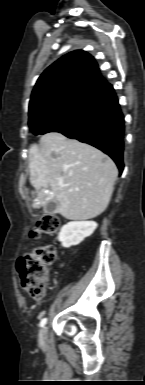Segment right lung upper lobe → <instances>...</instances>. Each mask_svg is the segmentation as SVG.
<instances>
[{"instance_id":"right-lung-upper-lobe-1","label":"right lung upper lobe","mask_w":145,"mask_h":385,"mask_svg":"<svg viewBox=\"0 0 145 385\" xmlns=\"http://www.w3.org/2000/svg\"><path fill=\"white\" fill-rule=\"evenodd\" d=\"M110 86L100 75L98 65L90 54L81 50L73 51L41 74L31 95L29 112L70 90L85 89L101 93Z\"/></svg>"}]
</instances>
